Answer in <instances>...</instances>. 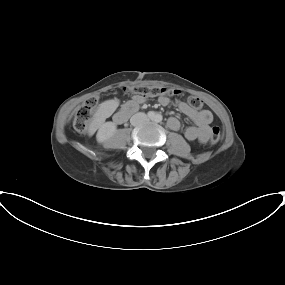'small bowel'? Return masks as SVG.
<instances>
[{"mask_svg":"<svg viewBox=\"0 0 285 285\" xmlns=\"http://www.w3.org/2000/svg\"><path fill=\"white\" fill-rule=\"evenodd\" d=\"M146 100L145 97L140 95H135L133 98L127 103H133L137 107L144 103ZM160 103L162 105L169 104V99L167 97H161ZM177 107L184 115L190 118L194 122V126H189L184 130V136L189 141H199L201 143H206L210 137V124L213 121V114L209 110H195L187 103L182 101H177ZM168 127L171 130L178 131L180 129V121L171 117L168 119Z\"/></svg>","mask_w":285,"mask_h":285,"instance_id":"1","label":"small bowel"}]
</instances>
